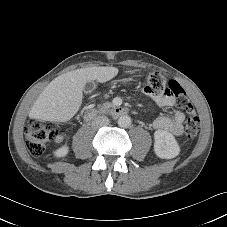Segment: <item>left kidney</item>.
I'll list each match as a JSON object with an SVG mask.
<instances>
[{
  "label": "left kidney",
  "instance_id": "5707ae66",
  "mask_svg": "<svg viewBox=\"0 0 227 227\" xmlns=\"http://www.w3.org/2000/svg\"><path fill=\"white\" fill-rule=\"evenodd\" d=\"M154 151L162 159H171L176 157L180 148L175 137L164 130H157L154 133Z\"/></svg>",
  "mask_w": 227,
  "mask_h": 227
}]
</instances>
